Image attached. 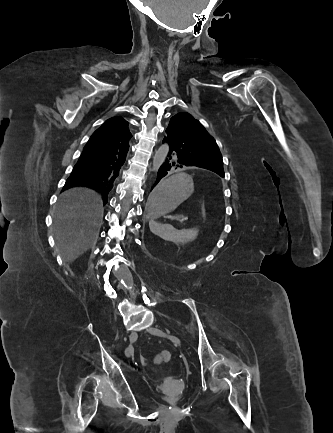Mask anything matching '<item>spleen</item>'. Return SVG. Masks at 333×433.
<instances>
[{
  "label": "spleen",
  "instance_id": "obj_1",
  "mask_svg": "<svg viewBox=\"0 0 333 433\" xmlns=\"http://www.w3.org/2000/svg\"><path fill=\"white\" fill-rule=\"evenodd\" d=\"M149 227L153 234L176 244H185L195 240L199 232L197 228L177 230L170 224H162L156 220H149Z\"/></svg>",
  "mask_w": 333,
  "mask_h": 433
}]
</instances>
